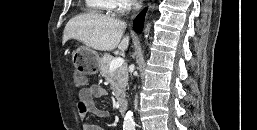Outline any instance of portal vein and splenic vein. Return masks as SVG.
<instances>
[{
    "instance_id": "obj_1",
    "label": "portal vein and splenic vein",
    "mask_w": 257,
    "mask_h": 130,
    "mask_svg": "<svg viewBox=\"0 0 257 130\" xmlns=\"http://www.w3.org/2000/svg\"><path fill=\"white\" fill-rule=\"evenodd\" d=\"M124 63V59L121 57L114 58L110 63V71H114L118 67L122 66Z\"/></svg>"
}]
</instances>
